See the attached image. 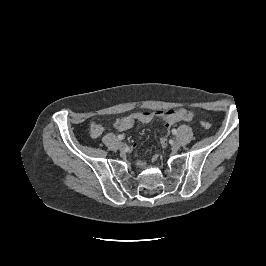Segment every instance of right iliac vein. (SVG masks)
<instances>
[{
    "label": "right iliac vein",
    "mask_w": 266,
    "mask_h": 266,
    "mask_svg": "<svg viewBox=\"0 0 266 266\" xmlns=\"http://www.w3.org/2000/svg\"><path fill=\"white\" fill-rule=\"evenodd\" d=\"M118 148H119L120 150H124V149L126 148V144L123 143V142H119V143H118Z\"/></svg>",
    "instance_id": "obj_1"
}]
</instances>
